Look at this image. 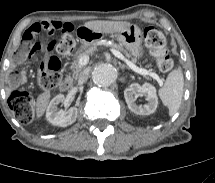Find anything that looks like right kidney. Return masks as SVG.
I'll return each instance as SVG.
<instances>
[{"mask_svg":"<svg viewBox=\"0 0 215 183\" xmlns=\"http://www.w3.org/2000/svg\"><path fill=\"white\" fill-rule=\"evenodd\" d=\"M64 99L63 94H58L51 100L47 107L46 118L54 126L67 127L77 119L78 110L76 107H72L67 111L58 110V104L62 103Z\"/></svg>","mask_w":215,"mask_h":183,"instance_id":"right-kidney-1","label":"right kidney"}]
</instances>
